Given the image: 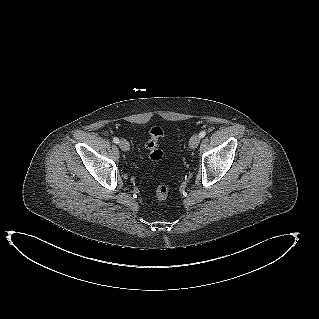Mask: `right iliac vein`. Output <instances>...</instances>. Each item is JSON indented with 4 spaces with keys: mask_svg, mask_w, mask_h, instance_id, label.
Masks as SVG:
<instances>
[{
    "mask_svg": "<svg viewBox=\"0 0 319 319\" xmlns=\"http://www.w3.org/2000/svg\"><path fill=\"white\" fill-rule=\"evenodd\" d=\"M119 146H120L121 150H123V151H128L130 149V145H129L128 141L125 139H122L119 142Z\"/></svg>",
    "mask_w": 319,
    "mask_h": 319,
    "instance_id": "63e3f726",
    "label": "right iliac vein"
}]
</instances>
